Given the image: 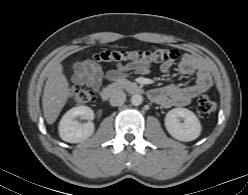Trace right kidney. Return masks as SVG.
<instances>
[{
	"instance_id": "1",
	"label": "right kidney",
	"mask_w": 248,
	"mask_h": 195,
	"mask_svg": "<svg viewBox=\"0 0 248 195\" xmlns=\"http://www.w3.org/2000/svg\"><path fill=\"white\" fill-rule=\"evenodd\" d=\"M78 117L88 120L87 123L77 121ZM94 112L87 106H77L67 111L59 123V135L69 143H79L94 133Z\"/></svg>"
}]
</instances>
